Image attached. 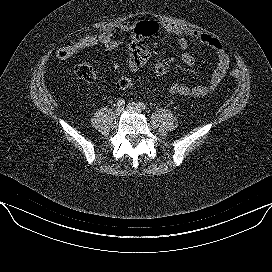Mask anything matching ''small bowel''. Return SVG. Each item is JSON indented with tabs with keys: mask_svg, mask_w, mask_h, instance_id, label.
I'll use <instances>...</instances> for the list:
<instances>
[{
	"mask_svg": "<svg viewBox=\"0 0 272 272\" xmlns=\"http://www.w3.org/2000/svg\"><path fill=\"white\" fill-rule=\"evenodd\" d=\"M136 26L137 25L133 22H119L112 26H105L100 31L113 41L114 46L112 48H107L108 50H115L122 44L114 37V30L118 29L122 32L131 34V38L127 43V62L129 68L133 71L139 70L150 58L149 49L143 44L141 37L135 33ZM162 27L169 36L177 37V45L181 49H186L188 47V38H192L209 46L217 57L216 67L212 71L206 84L188 86L183 83L175 82L169 87V93L194 99H199L213 93L224 78L229 67V57L220 40L202 31L183 27L171 22H163ZM180 57L181 60L189 66L195 65L197 61L196 56L186 51H183Z\"/></svg>",
	"mask_w": 272,
	"mask_h": 272,
	"instance_id": "c3829d8e",
	"label": "small bowel"
}]
</instances>
